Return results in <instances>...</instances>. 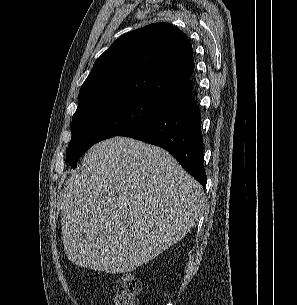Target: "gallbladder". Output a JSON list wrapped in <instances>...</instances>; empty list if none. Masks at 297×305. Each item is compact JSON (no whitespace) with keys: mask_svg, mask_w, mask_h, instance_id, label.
<instances>
[{"mask_svg":"<svg viewBox=\"0 0 297 305\" xmlns=\"http://www.w3.org/2000/svg\"><path fill=\"white\" fill-rule=\"evenodd\" d=\"M86 237H87V234H86V233H83V232H81V233L78 235V239L81 240V241L85 240Z\"/></svg>","mask_w":297,"mask_h":305,"instance_id":"gallbladder-1","label":"gallbladder"}]
</instances>
